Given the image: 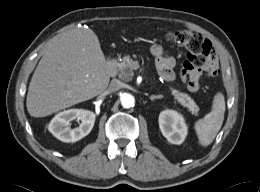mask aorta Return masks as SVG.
<instances>
[{"mask_svg": "<svg viewBox=\"0 0 260 192\" xmlns=\"http://www.w3.org/2000/svg\"><path fill=\"white\" fill-rule=\"evenodd\" d=\"M121 104L124 108H131L135 105V99L131 94L125 93L120 98Z\"/></svg>", "mask_w": 260, "mask_h": 192, "instance_id": "obj_1", "label": "aorta"}]
</instances>
